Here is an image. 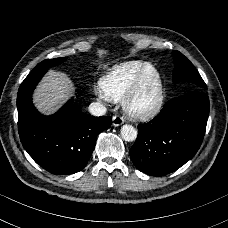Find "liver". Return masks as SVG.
<instances>
[{"instance_id": "6515ba94", "label": "liver", "mask_w": 228, "mask_h": 228, "mask_svg": "<svg viewBox=\"0 0 228 228\" xmlns=\"http://www.w3.org/2000/svg\"><path fill=\"white\" fill-rule=\"evenodd\" d=\"M71 86L65 75L53 71L39 87L35 100L43 111H52L72 92Z\"/></svg>"}]
</instances>
